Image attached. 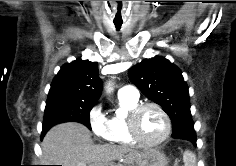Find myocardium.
I'll return each mask as SVG.
<instances>
[{
  "mask_svg": "<svg viewBox=\"0 0 236 166\" xmlns=\"http://www.w3.org/2000/svg\"><path fill=\"white\" fill-rule=\"evenodd\" d=\"M148 108H154L156 109L164 118L165 121V132L163 136L155 142H146L144 141L138 130V120L141 115V113L148 109ZM126 124L127 129L129 132L130 137L132 140L139 146L145 147V148H154L157 146H160L163 144L169 137L171 132V120L167 112L163 109L162 106L155 102H146L142 104H138L134 109H132L126 116Z\"/></svg>",
  "mask_w": 236,
  "mask_h": 166,
  "instance_id": "f54148a6",
  "label": "myocardium"
}]
</instances>
